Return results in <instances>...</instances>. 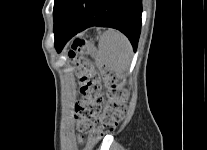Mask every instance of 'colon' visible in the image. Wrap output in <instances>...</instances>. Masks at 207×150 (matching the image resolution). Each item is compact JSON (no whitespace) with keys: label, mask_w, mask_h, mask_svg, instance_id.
<instances>
[{"label":"colon","mask_w":207,"mask_h":150,"mask_svg":"<svg viewBox=\"0 0 207 150\" xmlns=\"http://www.w3.org/2000/svg\"><path fill=\"white\" fill-rule=\"evenodd\" d=\"M77 53L96 55V50L88 41L78 38L74 41L69 56L74 58ZM98 64L108 88L104 108L100 74L87 59H81L77 64L82 100L75 105V119L78 131L87 135L89 144L112 132L122 121L129 98L124 78L105 62L99 60ZM79 139L82 140L81 137Z\"/></svg>","instance_id":"obj_1"}]
</instances>
